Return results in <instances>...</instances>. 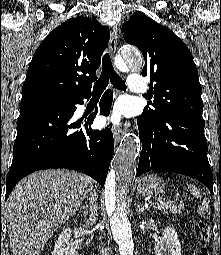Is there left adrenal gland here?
<instances>
[{"mask_svg":"<svg viewBox=\"0 0 221 255\" xmlns=\"http://www.w3.org/2000/svg\"><path fill=\"white\" fill-rule=\"evenodd\" d=\"M144 211H145V208L138 203L137 204V212H138V214H141Z\"/></svg>","mask_w":221,"mask_h":255,"instance_id":"left-adrenal-gland-1","label":"left adrenal gland"}]
</instances>
